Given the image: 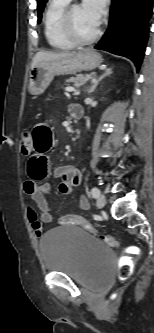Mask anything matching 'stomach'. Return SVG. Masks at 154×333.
<instances>
[{"label": "stomach", "instance_id": "0dacf381", "mask_svg": "<svg viewBox=\"0 0 154 333\" xmlns=\"http://www.w3.org/2000/svg\"><path fill=\"white\" fill-rule=\"evenodd\" d=\"M103 59L92 49H85L72 57L54 61H44L32 68L28 89L33 95L45 92L54 76L90 71L101 65Z\"/></svg>", "mask_w": 154, "mask_h": 333}]
</instances>
